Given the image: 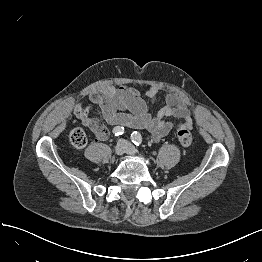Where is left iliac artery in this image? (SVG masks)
Segmentation results:
<instances>
[{
    "instance_id": "1",
    "label": "left iliac artery",
    "mask_w": 262,
    "mask_h": 262,
    "mask_svg": "<svg viewBox=\"0 0 262 262\" xmlns=\"http://www.w3.org/2000/svg\"><path fill=\"white\" fill-rule=\"evenodd\" d=\"M131 140L137 146H140L142 144V136L139 132H133L131 134Z\"/></svg>"
}]
</instances>
